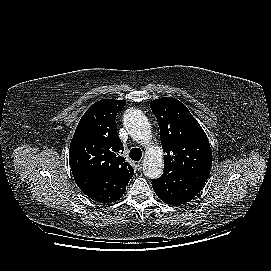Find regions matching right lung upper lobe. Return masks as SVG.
<instances>
[{
    "label": "right lung upper lobe",
    "mask_w": 271,
    "mask_h": 271,
    "mask_svg": "<svg viewBox=\"0 0 271 271\" xmlns=\"http://www.w3.org/2000/svg\"><path fill=\"white\" fill-rule=\"evenodd\" d=\"M126 101L103 99L95 102L80 119L69 149L73 173L91 172L117 178L124 183L134 170L121 156L124 147L115 118Z\"/></svg>",
    "instance_id": "obj_1"
}]
</instances>
